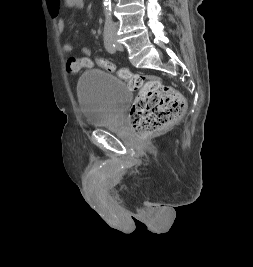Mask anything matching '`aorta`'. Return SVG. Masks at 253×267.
Segmentation results:
<instances>
[{"label":"aorta","mask_w":253,"mask_h":267,"mask_svg":"<svg viewBox=\"0 0 253 267\" xmlns=\"http://www.w3.org/2000/svg\"><path fill=\"white\" fill-rule=\"evenodd\" d=\"M103 8H104V16H105V26H109V24H111V22H112V18H111V12H112L111 0H104Z\"/></svg>","instance_id":"obj_1"}]
</instances>
